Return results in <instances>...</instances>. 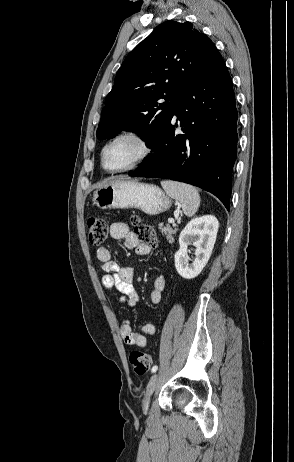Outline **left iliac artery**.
<instances>
[{"mask_svg": "<svg viewBox=\"0 0 294 462\" xmlns=\"http://www.w3.org/2000/svg\"><path fill=\"white\" fill-rule=\"evenodd\" d=\"M158 370V366L157 365H154L151 369V372L152 373H155L156 371Z\"/></svg>", "mask_w": 294, "mask_h": 462, "instance_id": "1", "label": "left iliac artery"}]
</instances>
